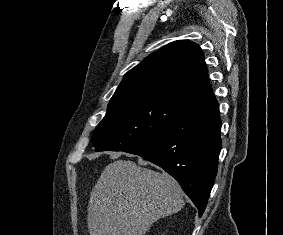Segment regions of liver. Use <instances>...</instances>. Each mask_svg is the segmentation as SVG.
<instances>
[{
  "instance_id": "1",
  "label": "liver",
  "mask_w": 283,
  "mask_h": 235,
  "mask_svg": "<svg viewBox=\"0 0 283 235\" xmlns=\"http://www.w3.org/2000/svg\"><path fill=\"white\" fill-rule=\"evenodd\" d=\"M145 164L117 160L105 167L90 195V235H144L155 221L183 208L177 181Z\"/></svg>"
}]
</instances>
